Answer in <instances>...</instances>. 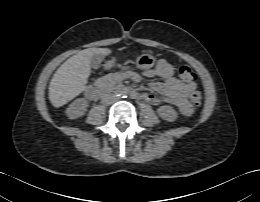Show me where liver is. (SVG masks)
<instances>
[{"instance_id":"obj_1","label":"liver","mask_w":260,"mask_h":202,"mask_svg":"<svg viewBox=\"0 0 260 202\" xmlns=\"http://www.w3.org/2000/svg\"><path fill=\"white\" fill-rule=\"evenodd\" d=\"M107 48H88L67 59L55 72L49 84V100L58 108L81 94L90 76V59L95 54L106 56Z\"/></svg>"}]
</instances>
